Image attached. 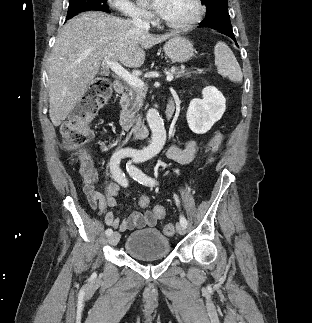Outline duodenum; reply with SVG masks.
Wrapping results in <instances>:
<instances>
[{
  "label": "duodenum",
  "mask_w": 312,
  "mask_h": 323,
  "mask_svg": "<svg viewBox=\"0 0 312 323\" xmlns=\"http://www.w3.org/2000/svg\"><path fill=\"white\" fill-rule=\"evenodd\" d=\"M113 89L120 97V110H119V122L121 126L127 130L134 126L135 120L133 115L127 109V96H126V82L123 78H118L113 82ZM176 113V104L174 100H170L165 114L168 119H172ZM146 135L145 129H140L136 133L138 139H143Z\"/></svg>",
  "instance_id": "duodenum-1"
}]
</instances>
